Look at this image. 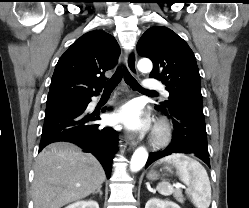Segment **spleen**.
<instances>
[{
  "label": "spleen",
  "mask_w": 249,
  "mask_h": 208,
  "mask_svg": "<svg viewBox=\"0 0 249 208\" xmlns=\"http://www.w3.org/2000/svg\"><path fill=\"white\" fill-rule=\"evenodd\" d=\"M173 163L180 180L188 186L187 195L197 208H208L211 203V185L205 168L195 159L181 153L172 154L161 159ZM158 192L168 196L174 192L170 183L163 181L158 184Z\"/></svg>",
  "instance_id": "1"
}]
</instances>
